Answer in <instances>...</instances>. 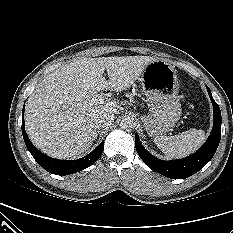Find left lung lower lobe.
<instances>
[{"label":"left lung lower lobe","mask_w":233,"mask_h":233,"mask_svg":"<svg viewBox=\"0 0 233 233\" xmlns=\"http://www.w3.org/2000/svg\"><path fill=\"white\" fill-rule=\"evenodd\" d=\"M214 110V124L208 140L194 154L179 160L164 161L154 157L141 144L135 135V147L144 163L154 171L173 179L187 178L202 169L214 156L221 138V111L207 87Z\"/></svg>","instance_id":"left-lung-lower-lobe-1"}]
</instances>
